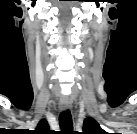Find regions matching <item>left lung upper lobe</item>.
I'll list each match as a JSON object with an SVG mask.
<instances>
[{"label": "left lung upper lobe", "mask_w": 137, "mask_h": 134, "mask_svg": "<svg viewBox=\"0 0 137 134\" xmlns=\"http://www.w3.org/2000/svg\"><path fill=\"white\" fill-rule=\"evenodd\" d=\"M99 123L93 118H86L83 124V134H105Z\"/></svg>", "instance_id": "1"}]
</instances>
